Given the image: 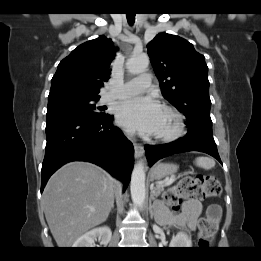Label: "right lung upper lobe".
<instances>
[{
    "instance_id": "obj_1",
    "label": "right lung upper lobe",
    "mask_w": 261,
    "mask_h": 261,
    "mask_svg": "<svg viewBox=\"0 0 261 261\" xmlns=\"http://www.w3.org/2000/svg\"><path fill=\"white\" fill-rule=\"evenodd\" d=\"M115 51L112 40L104 35L79 45L59 63L49 97L60 93L99 97L100 88L109 79Z\"/></svg>"
}]
</instances>
